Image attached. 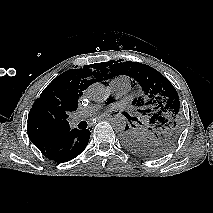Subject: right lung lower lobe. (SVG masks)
Returning <instances> with one entry per match:
<instances>
[{"label":"right lung lower lobe","instance_id":"98d812e1","mask_svg":"<svg viewBox=\"0 0 213 213\" xmlns=\"http://www.w3.org/2000/svg\"><path fill=\"white\" fill-rule=\"evenodd\" d=\"M90 131L73 129L59 136L35 139L32 143L46 158L63 163L72 160L86 148Z\"/></svg>","mask_w":213,"mask_h":213}]
</instances>
